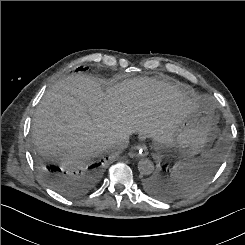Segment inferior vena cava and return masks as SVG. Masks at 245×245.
I'll list each match as a JSON object with an SVG mask.
<instances>
[{
    "instance_id": "1",
    "label": "inferior vena cava",
    "mask_w": 245,
    "mask_h": 245,
    "mask_svg": "<svg viewBox=\"0 0 245 245\" xmlns=\"http://www.w3.org/2000/svg\"><path fill=\"white\" fill-rule=\"evenodd\" d=\"M129 136H123L113 142L106 145L107 149H110L113 153H121L128 147Z\"/></svg>"
}]
</instances>
